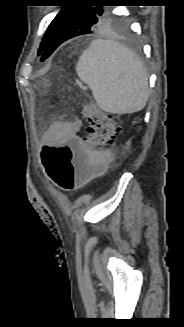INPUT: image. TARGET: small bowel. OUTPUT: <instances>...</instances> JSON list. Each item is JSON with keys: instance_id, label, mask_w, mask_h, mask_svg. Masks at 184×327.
<instances>
[{"instance_id": "obj_1", "label": "small bowel", "mask_w": 184, "mask_h": 327, "mask_svg": "<svg viewBox=\"0 0 184 327\" xmlns=\"http://www.w3.org/2000/svg\"><path fill=\"white\" fill-rule=\"evenodd\" d=\"M83 130V121L81 119L68 122V121H58L53 123L48 129L44 136L45 143H59L60 148L62 144L71 145L75 141V137H80ZM95 157V156H92ZM109 163V161H108ZM47 165V164H45ZM90 165H100V172H89V176L93 177L102 173L108 166V164H90Z\"/></svg>"}]
</instances>
